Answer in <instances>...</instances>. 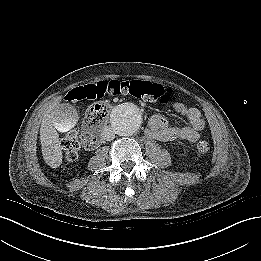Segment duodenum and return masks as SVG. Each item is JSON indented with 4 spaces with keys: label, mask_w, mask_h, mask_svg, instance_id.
I'll return each instance as SVG.
<instances>
[{
    "label": "duodenum",
    "mask_w": 261,
    "mask_h": 261,
    "mask_svg": "<svg viewBox=\"0 0 261 261\" xmlns=\"http://www.w3.org/2000/svg\"><path fill=\"white\" fill-rule=\"evenodd\" d=\"M106 129H107V127L104 128V130H106ZM85 135L88 136V137H91V133H90L89 131H87V132L85 133ZM101 141H102V137H100L99 139H97V140L95 141V146H97L98 144H100Z\"/></svg>",
    "instance_id": "410a0bca"
}]
</instances>
